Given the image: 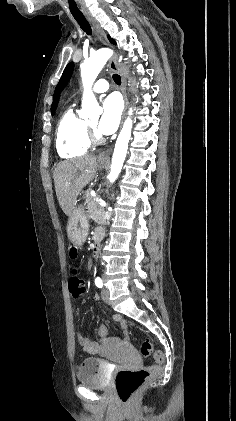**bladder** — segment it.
<instances>
[{"mask_svg": "<svg viewBox=\"0 0 236 421\" xmlns=\"http://www.w3.org/2000/svg\"><path fill=\"white\" fill-rule=\"evenodd\" d=\"M77 383L88 386L91 390H100L107 387L106 373L101 369V360L86 358L76 371Z\"/></svg>", "mask_w": 236, "mask_h": 421, "instance_id": "obj_1", "label": "bladder"}]
</instances>
